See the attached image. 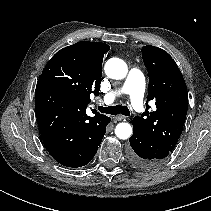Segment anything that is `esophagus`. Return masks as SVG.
<instances>
[{
	"mask_svg": "<svg viewBox=\"0 0 211 211\" xmlns=\"http://www.w3.org/2000/svg\"><path fill=\"white\" fill-rule=\"evenodd\" d=\"M113 119L114 121H121V120L126 119V117L123 115H117V116H114Z\"/></svg>",
	"mask_w": 211,
	"mask_h": 211,
	"instance_id": "obj_1",
	"label": "esophagus"
}]
</instances>
